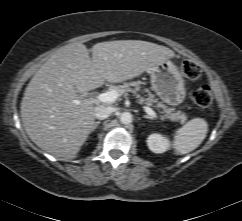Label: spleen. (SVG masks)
Wrapping results in <instances>:
<instances>
[{
    "label": "spleen",
    "instance_id": "3e777b00",
    "mask_svg": "<svg viewBox=\"0 0 242 221\" xmlns=\"http://www.w3.org/2000/svg\"><path fill=\"white\" fill-rule=\"evenodd\" d=\"M208 124L202 118H194L176 131L174 148L177 154H188L195 150L205 139Z\"/></svg>",
    "mask_w": 242,
    "mask_h": 221
}]
</instances>
